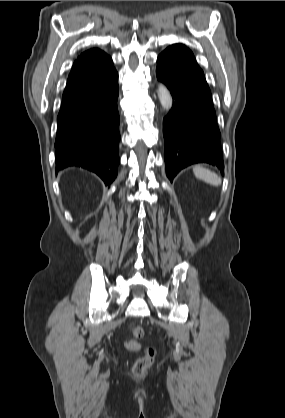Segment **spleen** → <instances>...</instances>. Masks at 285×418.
Segmentation results:
<instances>
[{
	"instance_id": "spleen-1",
	"label": "spleen",
	"mask_w": 285,
	"mask_h": 418,
	"mask_svg": "<svg viewBox=\"0 0 285 418\" xmlns=\"http://www.w3.org/2000/svg\"><path fill=\"white\" fill-rule=\"evenodd\" d=\"M193 172H194V175L198 179H200V180H202V181H204V182H206V183H208L212 186H220L221 185V178L217 174H215L214 172H212V171H210L206 168H203V167H200V166H195L193 168Z\"/></svg>"
}]
</instances>
